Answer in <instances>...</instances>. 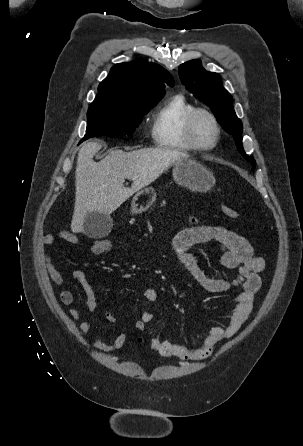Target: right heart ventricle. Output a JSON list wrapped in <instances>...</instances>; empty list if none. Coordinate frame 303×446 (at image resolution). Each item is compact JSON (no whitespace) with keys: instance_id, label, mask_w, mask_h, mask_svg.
<instances>
[{"instance_id":"right-heart-ventricle-1","label":"right heart ventricle","mask_w":303,"mask_h":446,"mask_svg":"<svg viewBox=\"0 0 303 446\" xmlns=\"http://www.w3.org/2000/svg\"><path fill=\"white\" fill-rule=\"evenodd\" d=\"M195 106L183 95L175 94L168 98L153 117L151 137L160 148L191 151L194 148L184 135V124Z\"/></svg>"}]
</instances>
